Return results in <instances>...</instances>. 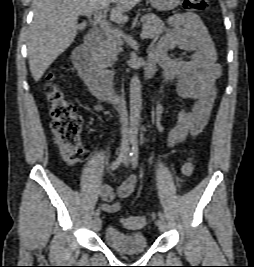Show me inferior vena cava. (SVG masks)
<instances>
[{"label": "inferior vena cava", "mask_w": 254, "mask_h": 267, "mask_svg": "<svg viewBox=\"0 0 254 267\" xmlns=\"http://www.w3.org/2000/svg\"><path fill=\"white\" fill-rule=\"evenodd\" d=\"M114 104H116L117 105V110L120 112V113H122V118H123V108H122V103H121V101H120V99L119 98H117L115 101H114Z\"/></svg>", "instance_id": "inferior-vena-cava-1"}]
</instances>
